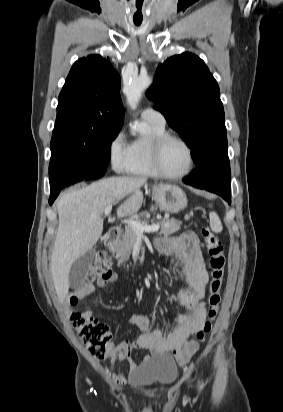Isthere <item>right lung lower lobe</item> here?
<instances>
[{
	"instance_id": "1",
	"label": "right lung lower lobe",
	"mask_w": 283,
	"mask_h": 412,
	"mask_svg": "<svg viewBox=\"0 0 283 412\" xmlns=\"http://www.w3.org/2000/svg\"><path fill=\"white\" fill-rule=\"evenodd\" d=\"M107 165H97L93 167H88L81 171L57 173L50 177V189L51 194L49 198V203L52 204L60 190L68 185L79 182L83 179H96L101 176L106 171Z\"/></svg>"
}]
</instances>
